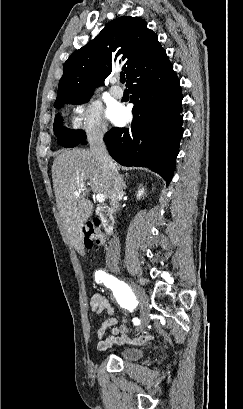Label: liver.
Listing matches in <instances>:
<instances>
[{
	"mask_svg": "<svg viewBox=\"0 0 243 409\" xmlns=\"http://www.w3.org/2000/svg\"><path fill=\"white\" fill-rule=\"evenodd\" d=\"M53 188L57 208L66 235L79 250L82 247V226L92 215L93 204L86 198L90 191L109 198L108 179L99 161L86 149L64 150L52 165ZM83 188L79 196L74 192Z\"/></svg>",
	"mask_w": 243,
	"mask_h": 409,
	"instance_id": "6515ba94",
	"label": "liver"
}]
</instances>
